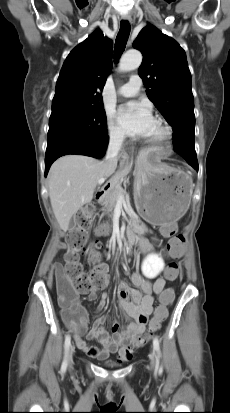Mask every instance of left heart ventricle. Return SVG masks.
Returning a JSON list of instances; mask_svg holds the SVG:
<instances>
[{"mask_svg":"<svg viewBox=\"0 0 230 413\" xmlns=\"http://www.w3.org/2000/svg\"><path fill=\"white\" fill-rule=\"evenodd\" d=\"M157 134H158V127H157V124L154 123L152 129L150 130V132L148 133L146 137L147 138L155 137Z\"/></svg>","mask_w":230,"mask_h":413,"instance_id":"b2bd125f","label":"left heart ventricle"}]
</instances>
